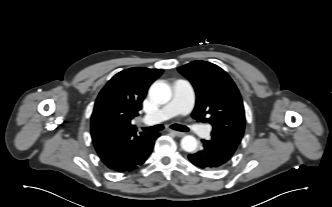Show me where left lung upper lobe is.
Instances as JSON below:
<instances>
[{
  "label": "left lung upper lobe",
  "mask_w": 332,
  "mask_h": 207,
  "mask_svg": "<svg viewBox=\"0 0 332 207\" xmlns=\"http://www.w3.org/2000/svg\"><path fill=\"white\" fill-rule=\"evenodd\" d=\"M178 71L193 85L196 105L192 117L197 121H209L212 137L238 146L244 128L245 114L241 95L220 67L206 61H193L181 66ZM209 114V118H205Z\"/></svg>",
  "instance_id": "1"
}]
</instances>
